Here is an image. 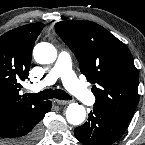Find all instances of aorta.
<instances>
[{
	"instance_id": "762f6f07",
	"label": "aorta",
	"mask_w": 145,
	"mask_h": 145,
	"mask_svg": "<svg viewBox=\"0 0 145 145\" xmlns=\"http://www.w3.org/2000/svg\"><path fill=\"white\" fill-rule=\"evenodd\" d=\"M34 59L40 64H51L57 58L55 47L47 42L38 43L33 50ZM67 122L72 125H80L86 118L85 108L78 103H71L66 109Z\"/></svg>"
}]
</instances>
